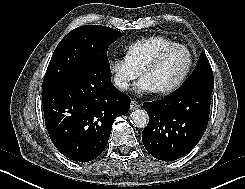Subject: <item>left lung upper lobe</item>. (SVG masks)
<instances>
[{
	"label": "left lung upper lobe",
	"mask_w": 245,
	"mask_h": 189,
	"mask_svg": "<svg viewBox=\"0 0 245 189\" xmlns=\"http://www.w3.org/2000/svg\"><path fill=\"white\" fill-rule=\"evenodd\" d=\"M189 85H201L210 89L214 88L212 68L204 52L200 54V58L193 74L188 78L182 87Z\"/></svg>",
	"instance_id": "1"
}]
</instances>
